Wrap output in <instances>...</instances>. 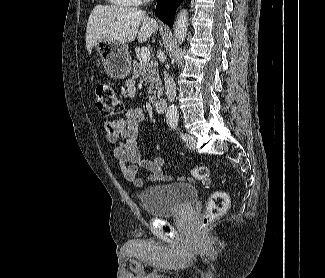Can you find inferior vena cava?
<instances>
[{
	"label": "inferior vena cava",
	"instance_id": "obj_1",
	"mask_svg": "<svg viewBox=\"0 0 325 278\" xmlns=\"http://www.w3.org/2000/svg\"><path fill=\"white\" fill-rule=\"evenodd\" d=\"M161 53H158V57H160ZM164 82H165V89H166V94L168 97V100L170 102H173L175 97H176V85L174 80L169 76V74L164 71Z\"/></svg>",
	"mask_w": 325,
	"mask_h": 278
}]
</instances>
